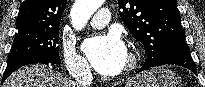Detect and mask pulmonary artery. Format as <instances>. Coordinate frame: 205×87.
Returning <instances> with one entry per match:
<instances>
[{
	"label": "pulmonary artery",
	"mask_w": 205,
	"mask_h": 87,
	"mask_svg": "<svg viewBox=\"0 0 205 87\" xmlns=\"http://www.w3.org/2000/svg\"><path fill=\"white\" fill-rule=\"evenodd\" d=\"M111 20L110 11L106 8L99 9L91 18L90 25L95 29L105 27Z\"/></svg>",
	"instance_id": "1"
}]
</instances>
